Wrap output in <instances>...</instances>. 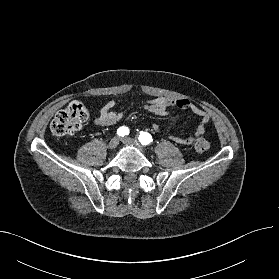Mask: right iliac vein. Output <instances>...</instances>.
I'll use <instances>...</instances> for the list:
<instances>
[{
  "label": "right iliac vein",
  "instance_id": "1",
  "mask_svg": "<svg viewBox=\"0 0 279 279\" xmlns=\"http://www.w3.org/2000/svg\"><path fill=\"white\" fill-rule=\"evenodd\" d=\"M119 145V138L118 137H114L110 140L109 144H108V148L110 150H114L117 148V146Z\"/></svg>",
  "mask_w": 279,
  "mask_h": 279
}]
</instances>
